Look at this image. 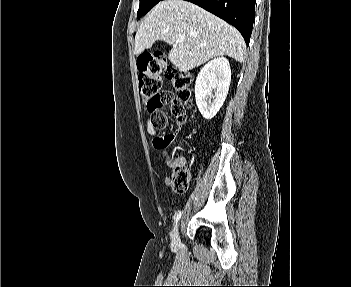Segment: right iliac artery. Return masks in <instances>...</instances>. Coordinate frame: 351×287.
<instances>
[{
  "label": "right iliac artery",
  "mask_w": 351,
  "mask_h": 287,
  "mask_svg": "<svg viewBox=\"0 0 351 287\" xmlns=\"http://www.w3.org/2000/svg\"><path fill=\"white\" fill-rule=\"evenodd\" d=\"M181 211H179L176 216L174 217V224H177V222L179 221V219L181 218Z\"/></svg>",
  "instance_id": "obj_1"
}]
</instances>
